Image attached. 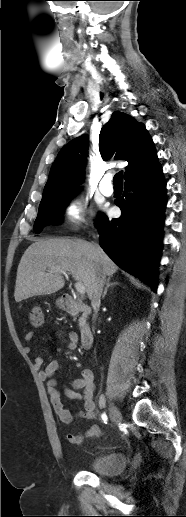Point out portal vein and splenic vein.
Instances as JSON below:
<instances>
[{"mask_svg": "<svg viewBox=\"0 0 186 517\" xmlns=\"http://www.w3.org/2000/svg\"><path fill=\"white\" fill-rule=\"evenodd\" d=\"M49 270L54 271L56 273H61V274H64V275L67 276L66 271H64V270H62V269H60L58 267L52 266V267H49ZM75 288H76L78 293H80V294H84L85 293V286L83 285V283H81V282L76 283L75 284Z\"/></svg>", "mask_w": 186, "mask_h": 517, "instance_id": "1", "label": "portal vein and splenic vein"}]
</instances>
